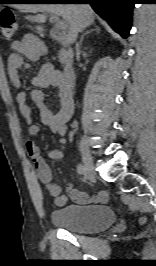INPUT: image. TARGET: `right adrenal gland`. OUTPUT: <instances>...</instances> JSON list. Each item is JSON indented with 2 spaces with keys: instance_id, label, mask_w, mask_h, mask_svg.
Returning <instances> with one entry per match:
<instances>
[{
  "instance_id": "2a0ac1e0",
  "label": "right adrenal gland",
  "mask_w": 156,
  "mask_h": 266,
  "mask_svg": "<svg viewBox=\"0 0 156 266\" xmlns=\"http://www.w3.org/2000/svg\"><path fill=\"white\" fill-rule=\"evenodd\" d=\"M92 25H94V24L92 23ZM93 31L99 32L100 29L96 26L95 28L90 29V30L84 32V33L82 34L81 38H80L79 46L82 45V41H83V39H84V36L87 35V34H89V33H91V32H93Z\"/></svg>"
}]
</instances>
